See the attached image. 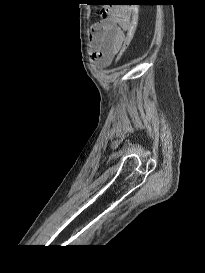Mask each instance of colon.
I'll use <instances>...</instances> for the list:
<instances>
[{
	"mask_svg": "<svg viewBox=\"0 0 205 273\" xmlns=\"http://www.w3.org/2000/svg\"><path fill=\"white\" fill-rule=\"evenodd\" d=\"M137 19H135L131 24H130V27L128 29V35H127V40H126V43H125V47L124 49L122 50L120 56H119V59H121L124 54L127 52L129 46H130V43L131 41L133 40L134 38V35L136 33V30H137Z\"/></svg>",
	"mask_w": 205,
	"mask_h": 273,
	"instance_id": "obj_1",
	"label": "colon"
}]
</instances>
